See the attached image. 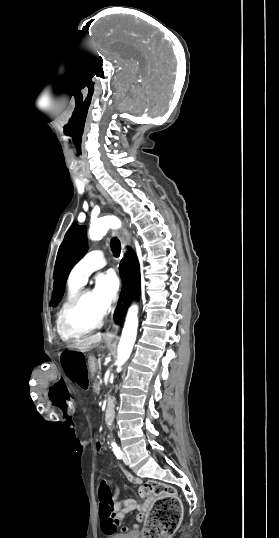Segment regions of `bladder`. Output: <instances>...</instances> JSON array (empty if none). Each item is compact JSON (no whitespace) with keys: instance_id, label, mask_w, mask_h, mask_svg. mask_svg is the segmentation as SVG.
Segmentation results:
<instances>
[{"instance_id":"31cf9c89","label":"bladder","mask_w":279,"mask_h":538,"mask_svg":"<svg viewBox=\"0 0 279 538\" xmlns=\"http://www.w3.org/2000/svg\"><path fill=\"white\" fill-rule=\"evenodd\" d=\"M109 538H139L138 532H115L114 536L109 534Z\"/></svg>"}]
</instances>
